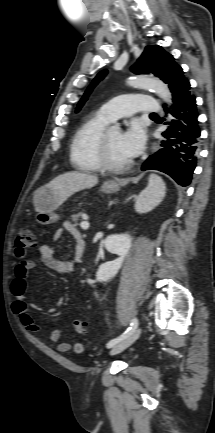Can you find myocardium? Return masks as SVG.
I'll return each instance as SVG.
<instances>
[{"mask_svg": "<svg viewBox=\"0 0 215 433\" xmlns=\"http://www.w3.org/2000/svg\"><path fill=\"white\" fill-rule=\"evenodd\" d=\"M98 157L102 168L113 172L126 170L130 168L134 163L133 160H129L123 163H115L111 159L108 148V131H104L100 138L98 146Z\"/></svg>", "mask_w": 215, "mask_h": 433, "instance_id": "obj_1", "label": "myocardium"}]
</instances>
